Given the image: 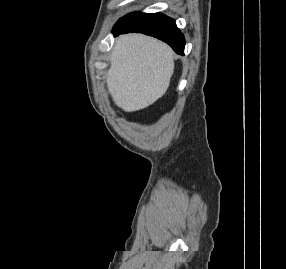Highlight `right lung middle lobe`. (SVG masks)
Returning a JSON list of instances; mask_svg holds the SVG:
<instances>
[{
	"label": "right lung middle lobe",
	"instance_id": "1",
	"mask_svg": "<svg viewBox=\"0 0 286 269\" xmlns=\"http://www.w3.org/2000/svg\"><path fill=\"white\" fill-rule=\"evenodd\" d=\"M142 15H143V13L135 12V13H131V14L124 16L115 24L114 29H119V28L125 27V26L129 25L130 23H132L133 21H135L137 18H139Z\"/></svg>",
	"mask_w": 286,
	"mask_h": 269
}]
</instances>
